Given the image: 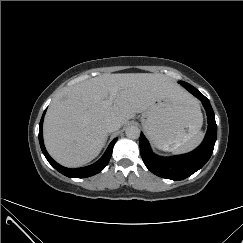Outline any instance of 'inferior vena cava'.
<instances>
[{
	"label": "inferior vena cava",
	"mask_w": 243,
	"mask_h": 243,
	"mask_svg": "<svg viewBox=\"0 0 243 243\" xmlns=\"http://www.w3.org/2000/svg\"><path fill=\"white\" fill-rule=\"evenodd\" d=\"M121 124L116 119H108L105 122V129L107 132H114L117 131L120 128Z\"/></svg>",
	"instance_id": "1"
}]
</instances>
